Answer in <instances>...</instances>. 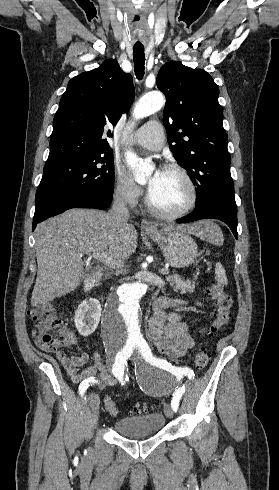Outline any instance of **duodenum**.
Listing matches in <instances>:
<instances>
[{
	"instance_id": "obj_1",
	"label": "duodenum",
	"mask_w": 279,
	"mask_h": 490,
	"mask_svg": "<svg viewBox=\"0 0 279 490\" xmlns=\"http://www.w3.org/2000/svg\"><path fill=\"white\" fill-rule=\"evenodd\" d=\"M101 274H102L101 268L96 267L95 270H94V272H93V274L91 276H89L85 280V282H84V290L87 293L91 292L95 288L98 280L101 277Z\"/></svg>"
}]
</instances>
